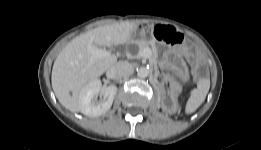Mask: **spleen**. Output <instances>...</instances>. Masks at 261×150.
Instances as JSON below:
<instances>
[{"label":"spleen","instance_id":"3e777b00","mask_svg":"<svg viewBox=\"0 0 261 150\" xmlns=\"http://www.w3.org/2000/svg\"><path fill=\"white\" fill-rule=\"evenodd\" d=\"M210 88V80L204 78L197 84V88L191 92V95L185 106V113L191 114L204 102Z\"/></svg>","mask_w":261,"mask_h":150}]
</instances>
